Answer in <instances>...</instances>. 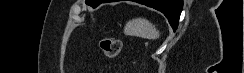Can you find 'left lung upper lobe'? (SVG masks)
<instances>
[{
  "instance_id": "1",
  "label": "left lung upper lobe",
  "mask_w": 244,
  "mask_h": 73,
  "mask_svg": "<svg viewBox=\"0 0 244 73\" xmlns=\"http://www.w3.org/2000/svg\"><path fill=\"white\" fill-rule=\"evenodd\" d=\"M86 4L97 7L99 4H101V0H86Z\"/></svg>"
}]
</instances>
